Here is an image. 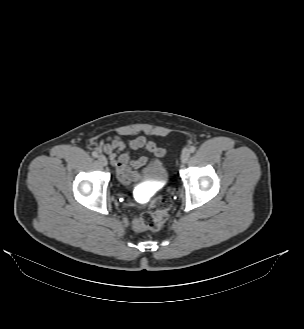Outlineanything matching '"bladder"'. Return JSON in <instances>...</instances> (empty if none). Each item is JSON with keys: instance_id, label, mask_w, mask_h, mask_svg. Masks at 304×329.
I'll use <instances>...</instances> for the list:
<instances>
[{"instance_id": "bladder-1", "label": "bladder", "mask_w": 304, "mask_h": 329, "mask_svg": "<svg viewBox=\"0 0 304 329\" xmlns=\"http://www.w3.org/2000/svg\"><path fill=\"white\" fill-rule=\"evenodd\" d=\"M144 181L164 182L168 178V171L163 160L160 158H153L147 162L143 169Z\"/></svg>"}]
</instances>
